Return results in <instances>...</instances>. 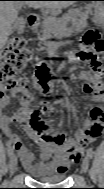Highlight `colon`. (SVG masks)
<instances>
[{"mask_svg":"<svg viewBox=\"0 0 104 189\" xmlns=\"http://www.w3.org/2000/svg\"><path fill=\"white\" fill-rule=\"evenodd\" d=\"M81 44L82 50L78 54V58L89 62L95 71L100 72L99 55L104 50V41L98 32L94 29L86 31ZM33 58L34 52L25 39L20 37L10 39L0 65V93L2 97L8 93L20 91L27 86L28 79L21 76L20 73L31 63ZM51 75V69L45 64L39 65L35 71L34 80L43 93H48L50 90ZM92 114L94 118L101 117V109L94 107ZM32 127L43 140L51 139V133L45 121L33 119Z\"/></svg>","mask_w":104,"mask_h":189,"instance_id":"colon-1","label":"colon"}]
</instances>
